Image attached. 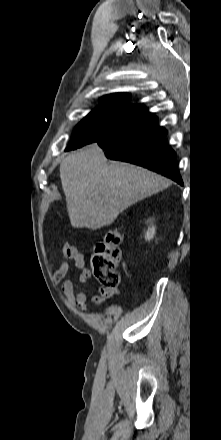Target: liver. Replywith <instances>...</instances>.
<instances>
[{"instance_id":"1","label":"liver","mask_w":221,"mask_h":440,"mask_svg":"<svg viewBox=\"0 0 221 440\" xmlns=\"http://www.w3.org/2000/svg\"><path fill=\"white\" fill-rule=\"evenodd\" d=\"M60 178L71 225L92 230L112 224L129 206L171 184L141 167L108 161L97 144L67 156Z\"/></svg>"}]
</instances>
